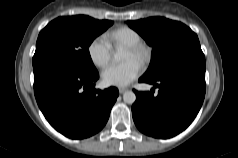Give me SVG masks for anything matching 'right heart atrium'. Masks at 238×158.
I'll return each instance as SVG.
<instances>
[{
  "instance_id": "obj_1",
  "label": "right heart atrium",
  "mask_w": 238,
  "mask_h": 158,
  "mask_svg": "<svg viewBox=\"0 0 238 158\" xmlns=\"http://www.w3.org/2000/svg\"><path fill=\"white\" fill-rule=\"evenodd\" d=\"M87 52L91 62L99 68L105 67L111 58V46L104 36L91 40Z\"/></svg>"
}]
</instances>
